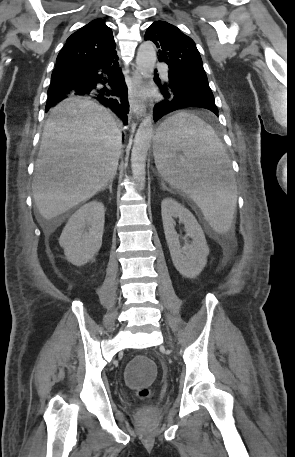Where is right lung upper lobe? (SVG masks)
Here are the masks:
<instances>
[{"instance_id": "1", "label": "right lung upper lobe", "mask_w": 295, "mask_h": 457, "mask_svg": "<svg viewBox=\"0 0 295 457\" xmlns=\"http://www.w3.org/2000/svg\"><path fill=\"white\" fill-rule=\"evenodd\" d=\"M112 30L95 19L73 33L58 54L57 67H76L96 62L115 52Z\"/></svg>"}]
</instances>
